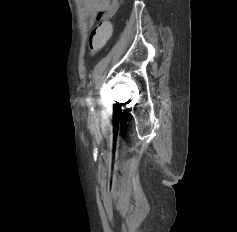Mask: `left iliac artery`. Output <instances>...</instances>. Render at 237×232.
<instances>
[{
    "label": "left iliac artery",
    "mask_w": 237,
    "mask_h": 232,
    "mask_svg": "<svg viewBox=\"0 0 237 232\" xmlns=\"http://www.w3.org/2000/svg\"><path fill=\"white\" fill-rule=\"evenodd\" d=\"M86 102H87V105H88L89 107L92 106V90L89 92V94H88V96H87V98H86ZM91 109H93V108H91Z\"/></svg>",
    "instance_id": "left-iliac-artery-1"
}]
</instances>
